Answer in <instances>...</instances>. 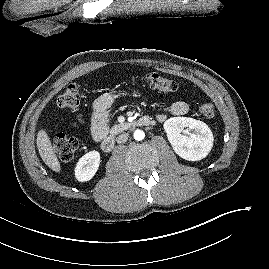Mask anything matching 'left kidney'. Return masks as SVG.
<instances>
[{"instance_id": "obj_1", "label": "left kidney", "mask_w": 269, "mask_h": 269, "mask_svg": "<svg viewBox=\"0 0 269 269\" xmlns=\"http://www.w3.org/2000/svg\"><path fill=\"white\" fill-rule=\"evenodd\" d=\"M193 130L189 136L181 134L184 129ZM167 133L175 153L188 161L205 158L213 147V134L207 124L187 117H173L165 121Z\"/></svg>"}]
</instances>
